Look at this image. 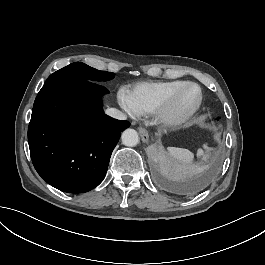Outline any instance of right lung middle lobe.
<instances>
[{
    "label": "right lung middle lobe",
    "mask_w": 265,
    "mask_h": 265,
    "mask_svg": "<svg viewBox=\"0 0 265 265\" xmlns=\"http://www.w3.org/2000/svg\"><path fill=\"white\" fill-rule=\"evenodd\" d=\"M114 76V73L99 71L82 62H75L50 75L44 86L79 81H108Z\"/></svg>",
    "instance_id": "right-lung-middle-lobe-1"
}]
</instances>
